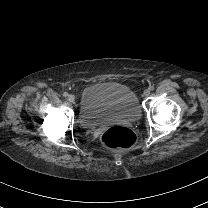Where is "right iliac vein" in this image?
I'll list each match as a JSON object with an SVG mask.
<instances>
[{
  "instance_id": "right-iliac-vein-1",
  "label": "right iliac vein",
  "mask_w": 208,
  "mask_h": 208,
  "mask_svg": "<svg viewBox=\"0 0 208 208\" xmlns=\"http://www.w3.org/2000/svg\"><path fill=\"white\" fill-rule=\"evenodd\" d=\"M68 101L71 102V103H74V101H75V96H74V95H69V96H68Z\"/></svg>"
}]
</instances>
